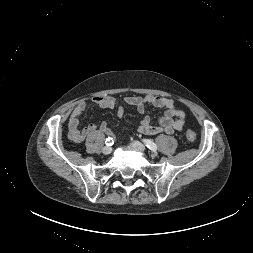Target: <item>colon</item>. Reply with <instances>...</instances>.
Instances as JSON below:
<instances>
[{"label":"colon","mask_w":253,"mask_h":253,"mask_svg":"<svg viewBox=\"0 0 253 253\" xmlns=\"http://www.w3.org/2000/svg\"><path fill=\"white\" fill-rule=\"evenodd\" d=\"M186 137L191 142H193V141H195L197 139L196 133L194 131H192V130H188L186 132Z\"/></svg>","instance_id":"colon-1"}]
</instances>
